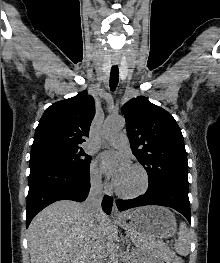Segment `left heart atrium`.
<instances>
[{
	"label": "left heart atrium",
	"mask_w": 220,
	"mask_h": 263,
	"mask_svg": "<svg viewBox=\"0 0 220 263\" xmlns=\"http://www.w3.org/2000/svg\"><path fill=\"white\" fill-rule=\"evenodd\" d=\"M103 170L117 185L131 168L128 158L116 152H105L101 155Z\"/></svg>",
	"instance_id": "left-heart-atrium-1"
}]
</instances>
